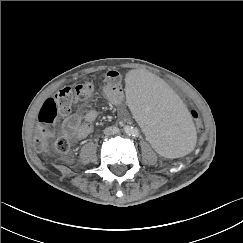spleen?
Returning a JSON list of instances; mask_svg holds the SVG:
<instances>
[{
  "label": "spleen",
  "instance_id": "obj_1",
  "mask_svg": "<svg viewBox=\"0 0 243 243\" xmlns=\"http://www.w3.org/2000/svg\"><path fill=\"white\" fill-rule=\"evenodd\" d=\"M126 103L152 148L169 159L185 156L193 147L192 121L179 96L154 72L133 73L124 86Z\"/></svg>",
  "mask_w": 243,
  "mask_h": 243
}]
</instances>
